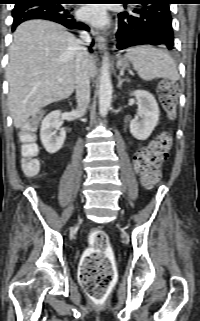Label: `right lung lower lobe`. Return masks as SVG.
Masks as SVG:
<instances>
[{"label": "right lung lower lobe", "instance_id": "1", "mask_svg": "<svg viewBox=\"0 0 200 321\" xmlns=\"http://www.w3.org/2000/svg\"><path fill=\"white\" fill-rule=\"evenodd\" d=\"M61 0H30L18 4L12 11V30L24 21L31 19H45L62 24L69 29L89 31V27L74 19L72 9L64 7ZM93 45V43H92Z\"/></svg>", "mask_w": 200, "mask_h": 321}]
</instances>
